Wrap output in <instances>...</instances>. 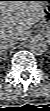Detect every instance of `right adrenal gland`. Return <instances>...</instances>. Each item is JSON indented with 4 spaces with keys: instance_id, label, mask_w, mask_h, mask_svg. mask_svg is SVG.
<instances>
[{
    "instance_id": "2a0ac1e0",
    "label": "right adrenal gland",
    "mask_w": 50,
    "mask_h": 111,
    "mask_svg": "<svg viewBox=\"0 0 50 111\" xmlns=\"http://www.w3.org/2000/svg\"><path fill=\"white\" fill-rule=\"evenodd\" d=\"M7 50H1V55L3 56V57H6V54H7V52H6ZM6 58H4V60H5Z\"/></svg>"
}]
</instances>
